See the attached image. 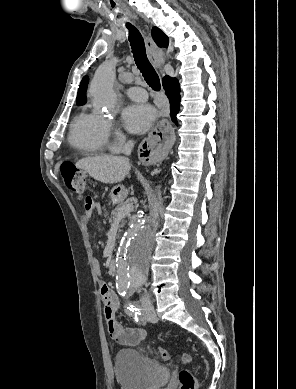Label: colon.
I'll return each mask as SVG.
<instances>
[{
    "label": "colon",
    "mask_w": 296,
    "mask_h": 389,
    "mask_svg": "<svg viewBox=\"0 0 296 389\" xmlns=\"http://www.w3.org/2000/svg\"><path fill=\"white\" fill-rule=\"evenodd\" d=\"M61 174L66 187L79 194L83 195L86 190V175L78 169L74 163L66 162L61 165ZM159 356L163 360L169 359L167 350L159 349ZM181 361L184 364H189L192 361V356L188 353L181 354ZM179 389H196V378L193 373L187 369H182L178 373Z\"/></svg>",
    "instance_id": "5ec220e1"
}]
</instances>
